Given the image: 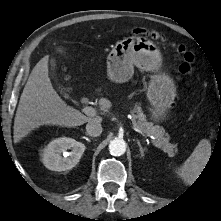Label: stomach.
Here are the masks:
<instances>
[{"instance_id": "1", "label": "stomach", "mask_w": 221, "mask_h": 221, "mask_svg": "<svg viewBox=\"0 0 221 221\" xmlns=\"http://www.w3.org/2000/svg\"><path fill=\"white\" fill-rule=\"evenodd\" d=\"M134 66L144 71L159 72L162 55L159 48L145 37H129L116 43L107 57V73L111 81L123 83L131 79ZM176 93L173 79L165 73L151 77L147 99L152 106V118L163 120Z\"/></svg>"}]
</instances>
